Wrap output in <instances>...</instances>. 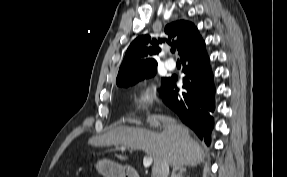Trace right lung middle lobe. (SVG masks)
<instances>
[{"label":"right lung middle lobe","mask_w":287,"mask_h":177,"mask_svg":"<svg viewBox=\"0 0 287 177\" xmlns=\"http://www.w3.org/2000/svg\"><path fill=\"white\" fill-rule=\"evenodd\" d=\"M156 71H157V70H154V71H152V72H150V73H148V74H146V75H144V76H142L141 78H138V79H136V80L128 81V82H124V83H119V84H117V85L120 86V87H129V86H131V85L136 84L138 81L143 80L144 78H149V77L154 76V75L156 74ZM164 79H165V78H163L162 81H164Z\"/></svg>","instance_id":"dd1d6c3e"}]
</instances>
